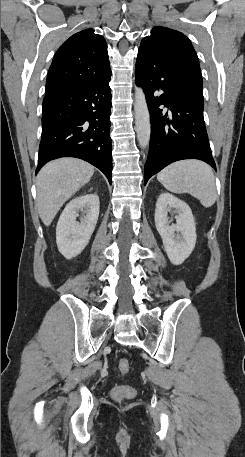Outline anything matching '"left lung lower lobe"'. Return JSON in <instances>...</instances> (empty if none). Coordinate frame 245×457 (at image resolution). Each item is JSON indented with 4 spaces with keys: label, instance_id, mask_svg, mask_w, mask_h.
<instances>
[{
    "label": "left lung lower lobe",
    "instance_id": "left-lung-lower-lobe-1",
    "mask_svg": "<svg viewBox=\"0 0 245 457\" xmlns=\"http://www.w3.org/2000/svg\"><path fill=\"white\" fill-rule=\"evenodd\" d=\"M135 77L151 115L144 183L167 165L183 159H199L216 169L204 123L203 93L164 53L138 52ZM162 105L170 112L164 114L159 108Z\"/></svg>",
    "mask_w": 245,
    "mask_h": 457
}]
</instances>
